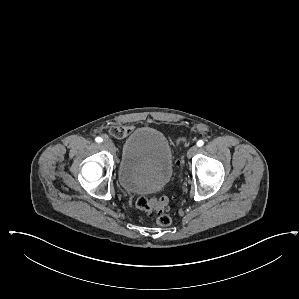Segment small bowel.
Wrapping results in <instances>:
<instances>
[{"label":"small bowel","mask_w":299,"mask_h":299,"mask_svg":"<svg viewBox=\"0 0 299 299\" xmlns=\"http://www.w3.org/2000/svg\"><path fill=\"white\" fill-rule=\"evenodd\" d=\"M132 130L133 126L130 124L118 125L110 128L111 134L118 138H123L127 136L132 132Z\"/></svg>","instance_id":"c3829d8e"}]
</instances>
